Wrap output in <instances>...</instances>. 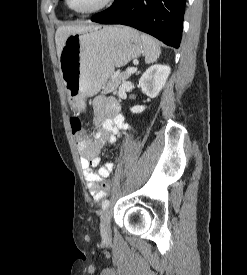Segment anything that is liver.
<instances>
[{
  "label": "liver",
  "mask_w": 247,
  "mask_h": 275,
  "mask_svg": "<svg viewBox=\"0 0 247 275\" xmlns=\"http://www.w3.org/2000/svg\"><path fill=\"white\" fill-rule=\"evenodd\" d=\"M96 28L95 25H79V26H61L56 31V48L57 55L60 58L62 48L68 36L76 33H82Z\"/></svg>",
  "instance_id": "liver-1"
}]
</instances>
